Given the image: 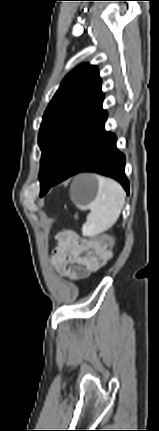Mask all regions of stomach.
Listing matches in <instances>:
<instances>
[{
  "mask_svg": "<svg viewBox=\"0 0 159 431\" xmlns=\"http://www.w3.org/2000/svg\"><path fill=\"white\" fill-rule=\"evenodd\" d=\"M98 190L99 183L96 175L80 174L71 185V199L77 206L87 208L96 199Z\"/></svg>",
  "mask_w": 159,
  "mask_h": 431,
  "instance_id": "obj_1",
  "label": "stomach"
}]
</instances>
